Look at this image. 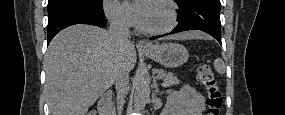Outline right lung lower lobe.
Wrapping results in <instances>:
<instances>
[{"mask_svg": "<svg viewBox=\"0 0 285 115\" xmlns=\"http://www.w3.org/2000/svg\"><path fill=\"white\" fill-rule=\"evenodd\" d=\"M103 10L83 7H65L48 14V44L64 28L74 24H90L99 27L106 25Z\"/></svg>", "mask_w": 285, "mask_h": 115, "instance_id": "98d812e1", "label": "right lung lower lobe"}]
</instances>
